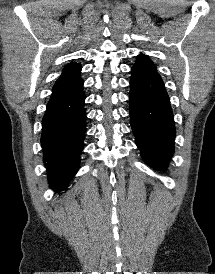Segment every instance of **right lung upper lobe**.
<instances>
[{"label": "right lung upper lobe", "instance_id": "right-lung-upper-lobe-1", "mask_svg": "<svg viewBox=\"0 0 215 274\" xmlns=\"http://www.w3.org/2000/svg\"><path fill=\"white\" fill-rule=\"evenodd\" d=\"M80 73L81 66L76 62H71L65 66L53 87V93L48 104L63 100L78 90L83 85Z\"/></svg>", "mask_w": 215, "mask_h": 274}]
</instances>
